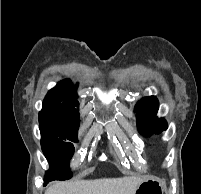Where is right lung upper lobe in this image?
<instances>
[{"label":"right lung upper lobe","instance_id":"cb5924a9","mask_svg":"<svg viewBox=\"0 0 201 194\" xmlns=\"http://www.w3.org/2000/svg\"><path fill=\"white\" fill-rule=\"evenodd\" d=\"M76 88L77 87H74L69 79L59 82L56 87L47 93L43 101V107L60 108L66 112L68 116L78 119L79 112L75 108L79 105L78 101L76 100Z\"/></svg>","mask_w":201,"mask_h":194}]
</instances>
